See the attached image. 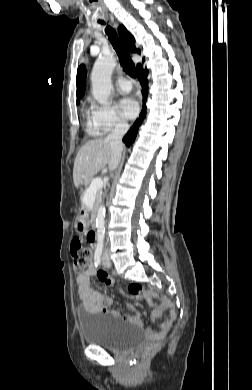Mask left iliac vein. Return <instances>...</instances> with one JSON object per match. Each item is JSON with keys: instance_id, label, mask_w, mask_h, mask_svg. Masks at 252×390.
I'll list each match as a JSON object with an SVG mask.
<instances>
[{"instance_id": "1", "label": "left iliac vein", "mask_w": 252, "mask_h": 390, "mask_svg": "<svg viewBox=\"0 0 252 390\" xmlns=\"http://www.w3.org/2000/svg\"><path fill=\"white\" fill-rule=\"evenodd\" d=\"M103 265L107 268H109L111 266V261H110L109 256L106 255L103 257Z\"/></svg>"}]
</instances>
